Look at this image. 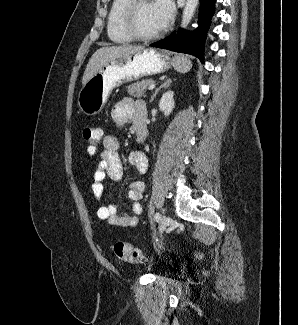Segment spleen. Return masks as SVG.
<instances>
[{"mask_svg":"<svg viewBox=\"0 0 298 325\" xmlns=\"http://www.w3.org/2000/svg\"><path fill=\"white\" fill-rule=\"evenodd\" d=\"M176 58L178 62H174V68H176V70H179V72H188V70L191 68L190 60H187V64H181V62H179L181 56H176Z\"/></svg>","mask_w":298,"mask_h":325,"instance_id":"spleen-1","label":"spleen"}]
</instances>
